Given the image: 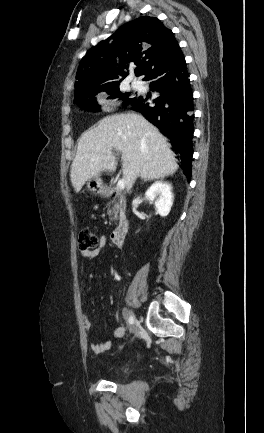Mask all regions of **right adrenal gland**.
I'll return each mask as SVG.
<instances>
[{"label":"right adrenal gland","mask_w":264,"mask_h":433,"mask_svg":"<svg viewBox=\"0 0 264 433\" xmlns=\"http://www.w3.org/2000/svg\"><path fill=\"white\" fill-rule=\"evenodd\" d=\"M147 181H151V179H149V178H145V179L143 180V182H147Z\"/></svg>","instance_id":"right-adrenal-gland-1"}]
</instances>
